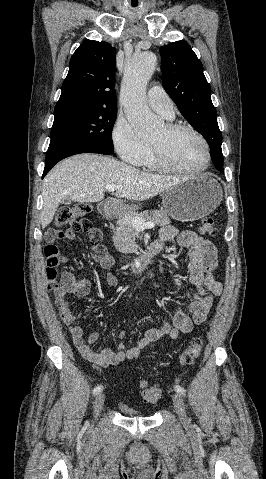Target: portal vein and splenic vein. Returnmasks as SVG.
Listing matches in <instances>:
<instances>
[{
	"mask_svg": "<svg viewBox=\"0 0 266 479\" xmlns=\"http://www.w3.org/2000/svg\"><path fill=\"white\" fill-rule=\"evenodd\" d=\"M118 188H119V186H116V185H108L106 187V190L113 193ZM131 223L137 231H142L144 229H151L155 226V224L153 222H145L143 219H141L139 217L132 218Z\"/></svg>",
	"mask_w": 266,
	"mask_h": 479,
	"instance_id": "obj_1",
	"label": "portal vein and splenic vein"
}]
</instances>
